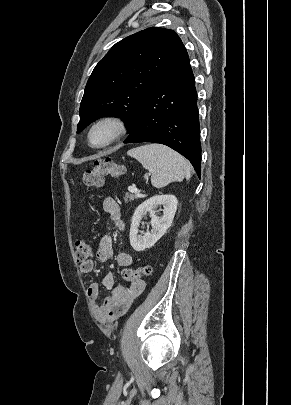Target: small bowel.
Listing matches in <instances>:
<instances>
[{
	"label": "small bowel",
	"mask_w": 291,
	"mask_h": 405,
	"mask_svg": "<svg viewBox=\"0 0 291 405\" xmlns=\"http://www.w3.org/2000/svg\"><path fill=\"white\" fill-rule=\"evenodd\" d=\"M102 208L109 215L113 223L119 229L124 227L121 220L120 207L116 200L107 197L102 202ZM113 238L106 234L101 237L98 244L97 257L102 261H107L113 257ZM117 264L121 267H128L132 264V256L127 252H120L117 257ZM94 269V262L87 260L80 264L83 273H90ZM103 285L111 290V296L107 297L102 304L99 303V286L92 283L87 289V295L91 302L94 318L105 326H111L117 319L122 317L132 305L133 301L144 291L145 282L138 280L131 283L129 287L116 285L115 276L109 273L103 279Z\"/></svg>",
	"instance_id": "c3829d8e"
}]
</instances>
